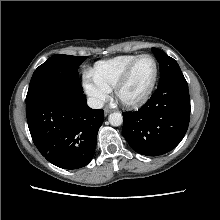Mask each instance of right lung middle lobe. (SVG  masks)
Masks as SVG:
<instances>
[{"mask_svg":"<svg viewBox=\"0 0 220 220\" xmlns=\"http://www.w3.org/2000/svg\"><path fill=\"white\" fill-rule=\"evenodd\" d=\"M85 57L53 55L34 72L26 96V105L44 98L72 97L82 93L78 66Z\"/></svg>","mask_w":220,"mask_h":220,"instance_id":"1","label":"right lung middle lobe"}]
</instances>
